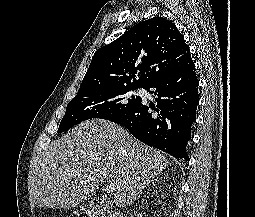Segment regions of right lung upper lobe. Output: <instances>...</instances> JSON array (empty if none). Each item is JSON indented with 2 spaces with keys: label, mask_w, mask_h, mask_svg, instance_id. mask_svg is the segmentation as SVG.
<instances>
[{
  "label": "right lung upper lobe",
  "mask_w": 255,
  "mask_h": 217,
  "mask_svg": "<svg viewBox=\"0 0 255 217\" xmlns=\"http://www.w3.org/2000/svg\"><path fill=\"white\" fill-rule=\"evenodd\" d=\"M190 59V50L175 24L154 17L98 49L78 92L127 86L146 88Z\"/></svg>",
  "instance_id": "right-lung-upper-lobe-1"
}]
</instances>
